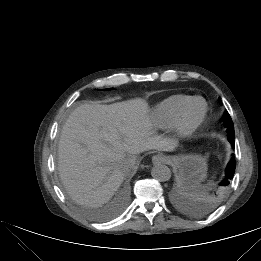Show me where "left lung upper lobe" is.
Returning <instances> with one entry per match:
<instances>
[{
  "mask_svg": "<svg viewBox=\"0 0 261 261\" xmlns=\"http://www.w3.org/2000/svg\"><path fill=\"white\" fill-rule=\"evenodd\" d=\"M221 103V101H220ZM223 121L225 124V127L227 128V135L229 141H234V127L232 124V119L228 112L224 113ZM230 184V181L227 179L226 175L222 179V181L218 184L217 188L214 189L212 196H211V203L212 205L217 204L221 198L223 197L225 191L227 190L228 186Z\"/></svg>",
  "mask_w": 261,
  "mask_h": 261,
  "instance_id": "left-lung-upper-lobe-1",
  "label": "left lung upper lobe"
}]
</instances>
